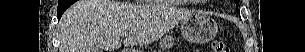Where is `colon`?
Masks as SVG:
<instances>
[{"mask_svg":"<svg viewBox=\"0 0 305 52\" xmlns=\"http://www.w3.org/2000/svg\"><path fill=\"white\" fill-rule=\"evenodd\" d=\"M213 52H229L228 46L221 40H215L211 44Z\"/></svg>","mask_w":305,"mask_h":52,"instance_id":"1","label":"colon"}]
</instances>
